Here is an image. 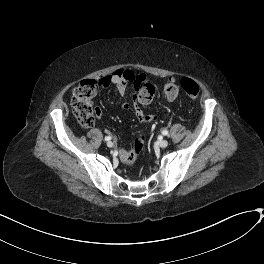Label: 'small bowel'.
<instances>
[{
    "label": "small bowel",
    "mask_w": 264,
    "mask_h": 264,
    "mask_svg": "<svg viewBox=\"0 0 264 264\" xmlns=\"http://www.w3.org/2000/svg\"><path fill=\"white\" fill-rule=\"evenodd\" d=\"M147 80V77L144 73L131 70V69H120L114 72L111 75L105 76L99 80V85L102 87H106L109 84L115 85L116 89L120 94H124L129 85H133L136 87L137 91H139L142 83ZM123 110H130L134 112V115L138 119V121L142 124H147L152 120V117H149L145 111L143 106L138 102L134 101L133 104L129 102L122 103ZM99 112L100 109L98 108ZM120 157L123 160H127L129 157V153L127 151L121 150Z\"/></svg>",
    "instance_id": "obj_1"
}]
</instances>
